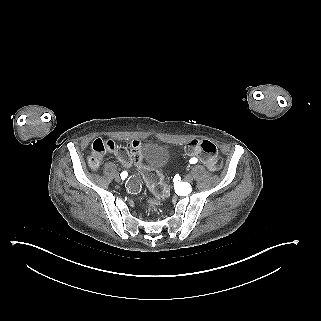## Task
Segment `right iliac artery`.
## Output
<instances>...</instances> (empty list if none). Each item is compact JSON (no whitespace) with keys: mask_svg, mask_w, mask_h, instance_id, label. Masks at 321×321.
<instances>
[{"mask_svg":"<svg viewBox=\"0 0 321 321\" xmlns=\"http://www.w3.org/2000/svg\"><path fill=\"white\" fill-rule=\"evenodd\" d=\"M121 179H125L127 177V172L126 171H123L121 174Z\"/></svg>","mask_w":321,"mask_h":321,"instance_id":"right-iliac-artery-1","label":"right iliac artery"}]
</instances>
